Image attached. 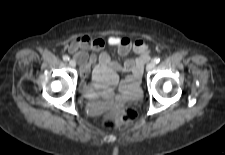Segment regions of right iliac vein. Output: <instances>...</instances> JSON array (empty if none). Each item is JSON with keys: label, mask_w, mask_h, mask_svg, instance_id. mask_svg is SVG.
Returning a JSON list of instances; mask_svg holds the SVG:
<instances>
[{"label": "right iliac vein", "mask_w": 225, "mask_h": 155, "mask_svg": "<svg viewBox=\"0 0 225 155\" xmlns=\"http://www.w3.org/2000/svg\"><path fill=\"white\" fill-rule=\"evenodd\" d=\"M69 65H70L71 67H76V61L71 59V60L69 61Z\"/></svg>", "instance_id": "1"}]
</instances>
